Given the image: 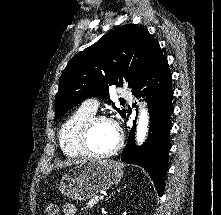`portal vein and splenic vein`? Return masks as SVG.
Instances as JSON below:
<instances>
[{
    "instance_id": "portal-vein-and-splenic-vein-1",
    "label": "portal vein and splenic vein",
    "mask_w": 221,
    "mask_h": 215,
    "mask_svg": "<svg viewBox=\"0 0 221 215\" xmlns=\"http://www.w3.org/2000/svg\"><path fill=\"white\" fill-rule=\"evenodd\" d=\"M103 198H104V196H102V195L99 197V199H103Z\"/></svg>"
}]
</instances>
